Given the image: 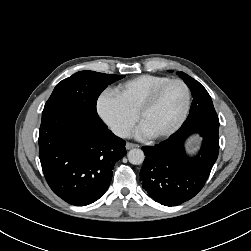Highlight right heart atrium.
Wrapping results in <instances>:
<instances>
[{
    "label": "right heart atrium",
    "mask_w": 251,
    "mask_h": 251,
    "mask_svg": "<svg viewBox=\"0 0 251 251\" xmlns=\"http://www.w3.org/2000/svg\"><path fill=\"white\" fill-rule=\"evenodd\" d=\"M100 119L118 137H127L136 123V114L127 108L112 89L103 90L96 100Z\"/></svg>",
    "instance_id": "1"
}]
</instances>
